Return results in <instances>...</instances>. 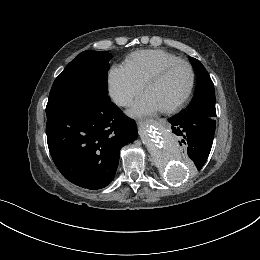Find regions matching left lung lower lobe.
Masks as SVG:
<instances>
[{
	"instance_id": "obj_1",
	"label": "left lung lower lobe",
	"mask_w": 260,
	"mask_h": 260,
	"mask_svg": "<svg viewBox=\"0 0 260 260\" xmlns=\"http://www.w3.org/2000/svg\"><path fill=\"white\" fill-rule=\"evenodd\" d=\"M216 111L196 109L168 119L172 132L180 139L185 157L198 171L209 156L216 128Z\"/></svg>"
}]
</instances>
